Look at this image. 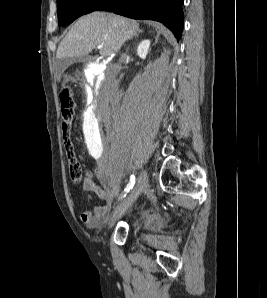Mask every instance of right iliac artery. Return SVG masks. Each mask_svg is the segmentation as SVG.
<instances>
[{
  "label": "right iliac artery",
  "instance_id": "obj_1",
  "mask_svg": "<svg viewBox=\"0 0 267 298\" xmlns=\"http://www.w3.org/2000/svg\"><path fill=\"white\" fill-rule=\"evenodd\" d=\"M134 184H135V176L131 175L130 182L125 188V190L120 194L118 201L123 199L127 195V193L133 188Z\"/></svg>",
  "mask_w": 267,
  "mask_h": 298
}]
</instances>
